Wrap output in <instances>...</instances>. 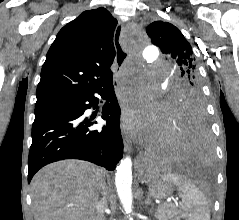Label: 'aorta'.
Returning <instances> with one entry per match:
<instances>
[{"mask_svg":"<svg viewBox=\"0 0 239 220\" xmlns=\"http://www.w3.org/2000/svg\"><path fill=\"white\" fill-rule=\"evenodd\" d=\"M125 40H137L136 33H125ZM139 46V45H126ZM145 57L143 61H157V48H145ZM115 184L120 202L126 213H132V161L130 157L123 158L117 166L115 174ZM130 220H133L130 218Z\"/></svg>","mask_w":239,"mask_h":220,"instance_id":"762f6f07","label":"aorta"}]
</instances>
